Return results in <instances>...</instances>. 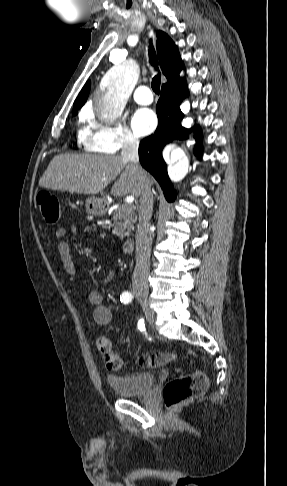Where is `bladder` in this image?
Listing matches in <instances>:
<instances>
[{
  "mask_svg": "<svg viewBox=\"0 0 287 486\" xmlns=\"http://www.w3.org/2000/svg\"><path fill=\"white\" fill-rule=\"evenodd\" d=\"M106 381L119 396L134 397L148 393L155 383V376L151 373L108 375Z\"/></svg>",
  "mask_w": 287,
  "mask_h": 486,
  "instance_id": "obj_1",
  "label": "bladder"
}]
</instances>
